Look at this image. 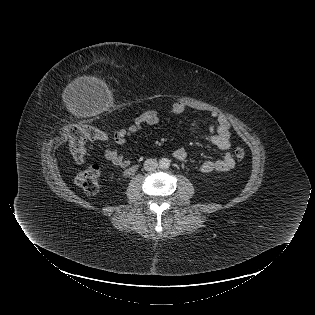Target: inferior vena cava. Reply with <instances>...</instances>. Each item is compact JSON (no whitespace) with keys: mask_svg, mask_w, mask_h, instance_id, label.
Listing matches in <instances>:
<instances>
[{"mask_svg":"<svg viewBox=\"0 0 315 315\" xmlns=\"http://www.w3.org/2000/svg\"><path fill=\"white\" fill-rule=\"evenodd\" d=\"M158 167V162L155 159H147L144 162V169L146 171H154Z\"/></svg>","mask_w":315,"mask_h":315,"instance_id":"602c4592","label":"inferior vena cava"}]
</instances>
